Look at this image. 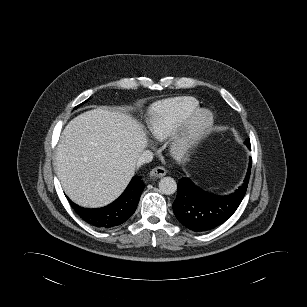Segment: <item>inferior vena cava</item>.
<instances>
[{"mask_svg": "<svg viewBox=\"0 0 307 307\" xmlns=\"http://www.w3.org/2000/svg\"><path fill=\"white\" fill-rule=\"evenodd\" d=\"M153 152L146 150L143 151V153L140 155L138 161H137V165L140 166L144 163H149L153 160Z\"/></svg>", "mask_w": 307, "mask_h": 307, "instance_id": "obj_1", "label": "inferior vena cava"}]
</instances>
